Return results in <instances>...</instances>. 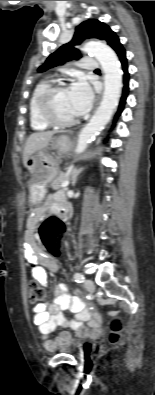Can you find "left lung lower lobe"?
<instances>
[{
    "label": "left lung lower lobe",
    "mask_w": 155,
    "mask_h": 395,
    "mask_svg": "<svg viewBox=\"0 0 155 395\" xmlns=\"http://www.w3.org/2000/svg\"><path fill=\"white\" fill-rule=\"evenodd\" d=\"M120 63H121V67H122V71H123V92H122V97L120 100V105H119V109L118 112L116 114L117 118L120 113L123 110L124 104L126 103V98L129 92V73H128V63H127V58H126V53L125 52H121L118 54Z\"/></svg>",
    "instance_id": "left-lung-lower-lobe-1"
}]
</instances>
